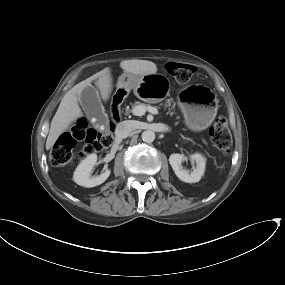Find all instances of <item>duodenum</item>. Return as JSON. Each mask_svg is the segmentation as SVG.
<instances>
[{
  "label": "duodenum",
  "mask_w": 285,
  "mask_h": 285,
  "mask_svg": "<svg viewBox=\"0 0 285 285\" xmlns=\"http://www.w3.org/2000/svg\"><path fill=\"white\" fill-rule=\"evenodd\" d=\"M122 103H123V98L120 95L115 94L113 96L111 104V115L116 123H118L121 119Z\"/></svg>",
  "instance_id": "obj_1"
}]
</instances>
